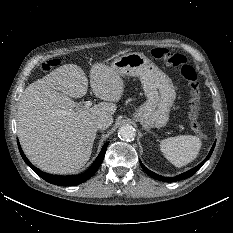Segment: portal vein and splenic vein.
<instances>
[{
    "instance_id": "obj_1",
    "label": "portal vein and splenic vein",
    "mask_w": 233,
    "mask_h": 233,
    "mask_svg": "<svg viewBox=\"0 0 233 233\" xmlns=\"http://www.w3.org/2000/svg\"><path fill=\"white\" fill-rule=\"evenodd\" d=\"M92 106V102L91 101H86L85 103H84V107L85 108H90Z\"/></svg>"
}]
</instances>
